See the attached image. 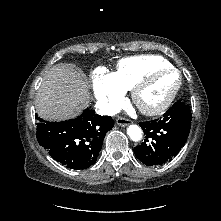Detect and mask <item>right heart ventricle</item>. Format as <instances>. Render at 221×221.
Listing matches in <instances>:
<instances>
[{
    "mask_svg": "<svg viewBox=\"0 0 221 221\" xmlns=\"http://www.w3.org/2000/svg\"><path fill=\"white\" fill-rule=\"evenodd\" d=\"M170 66L171 64L161 56H133L120 60L113 74L122 88L128 91L152 70Z\"/></svg>",
    "mask_w": 221,
    "mask_h": 221,
    "instance_id": "right-heart-ventricle-1",
    "label": "right heart ventricle"
}]
</instances>
